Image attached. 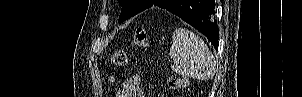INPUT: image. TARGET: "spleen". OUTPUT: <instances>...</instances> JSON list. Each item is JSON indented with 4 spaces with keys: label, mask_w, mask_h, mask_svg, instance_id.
<instances>
[{
    "label": "spleen",
    "mask_w": 302,
    "mask_h": 97,
    "mask_svg": "<svg viewBox=\"0 0 302 97\" xmlns=\"http://www.w3.org/2000/svg\"><path fill=\"white\" fill-rule=\"evenodd\" d=\"M169 56L175 64L172 70L197 80L210 79L216 70L213 54L204 41L185 28H177L172 35Z\"/></svg>",
    "instance_id": "1"
}]
</instances>
